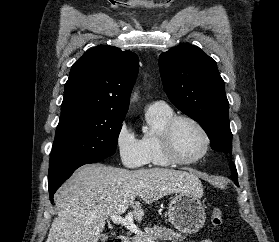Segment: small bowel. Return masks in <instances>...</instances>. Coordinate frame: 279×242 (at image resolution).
<instances>
[{"label":"small bowel","instance_id":"obj_1","mask_svg":"<svg viewBox=\"0 0 279 242\" xmlns=\"http://www.w3.org/2000/svg\"><path fill=\"white\" fill-rule=\"evenodd\" d=\"M200 242H215V241H213V240H211V239H205V240H202V241H200Z\"/></svg>","mask_w":279,"mask_h":242}]
</instances>
